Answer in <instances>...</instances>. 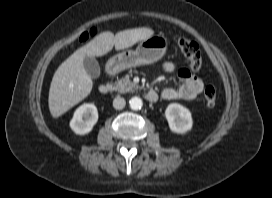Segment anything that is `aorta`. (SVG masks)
Here are the masks:
<instances>
[{
	"mask_svg": "<svg viewBox=\"0 0 272 198\" xmlns=\"http://www.w3.org/2000/svg\"><path fill=\"white\" fill-rule=\"evenodd\" d=\"M129 105L132 110H140L142 108L143 102L139 97H132L129 101Z\"/></svg>",
	"mask_w": 272,
	"mask_h": 198,
	"instance_id": "762f6f07",
	"label": "aorta"
}]
</instances>
